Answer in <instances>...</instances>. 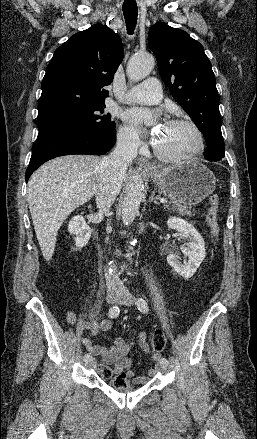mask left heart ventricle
I'll use <instances>...</instances> for the list:
<instances>
[{"instance_id":"left-heart-ventricle-1","label":"left heart ventricle","mask_w":257,"mask_h":439,"mask_svg":"<svg viewBox=\"0 0 257 439\" xmlns=\"http://www.w3.org/2000/svg\"><path fill=\"white\" fill-rule=\"evenodd\" d=\"M157 146L171 155L186 154L197 146L193 129L187 125H164L158 132Z\"/></svg>"}]
</instances>
